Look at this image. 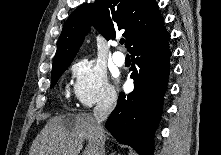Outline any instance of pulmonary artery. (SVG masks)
<instances>
[{"label":"pulmonary artery","instance_id":"e3ab8cb5","mask_svg":"<svg viewBox=\"0 0 221 155\" xmlns=\"http://www.w3.org/2000/svg\"><path fill=\"white\" fill-rule=\"evenodd\" d=\"M115 45H117V43ZM112 59L117 66H123L125 64V55L121 51L114 52Z\"/></svg>","mask_w":221,"mask_h":155}]
</instances>
